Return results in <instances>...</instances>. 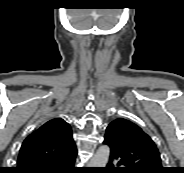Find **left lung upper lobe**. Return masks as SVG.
Instances as JSON below:
<instances>
[{
    "label": "left lung upper lobe",
    "instance_id": "obj_1",
    "mask_svg": "<svg viewBox=\"0 0 184 173\" xmlns=\"http://www.w3.org/2000/svg\"><path fill=\"white\" fill-rule=\"evenodd\" d=\"M104 143L130 173H164L159 151L152 139L135 123L124 118L112 121Z\"/></svg>",
    "mask_w": 184,
    "mask_h": 173
}]
</instances>
